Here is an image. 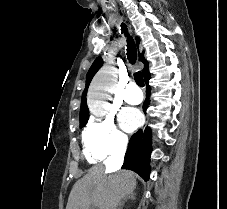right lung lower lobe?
<instances>
[{
  "mask_svg": "<svg viewBox=\"0 0 227 209\" xmlns=\"http://www.w3.org/2000/svg\"><path fill=\"white\" fill-rule=\"evenodd\" d=\"M149 79L150 75L145 78V83L147 84L148 90L149 87ZM150 101L148 97L146 98L143 104L144 112L148 108ZM151 131L149 128H146L144 132L140 129L135 134H133L130 138L127 152L124 158V164L122 166L123 169H130L138 173L144 180L149 179V162H150V154H151Z\"/></svg>",
  "mask_w": 227,
  "mask_h": 209,
  "instance_id": "98d812e1",
  "label": "right lung lower lobe"
}]
</instances>
